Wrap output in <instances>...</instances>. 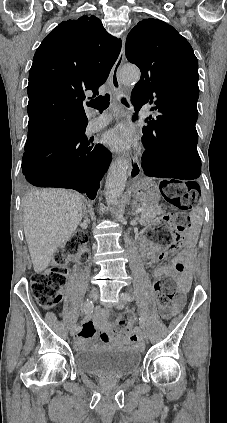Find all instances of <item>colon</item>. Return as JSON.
<instances>
[{"label": "colon", "instance_id": "colon-1", "mask_svg": "<svg viewBox=\"0 0 227 423\" xmlns=\"http://www.w3.org/2000/svg\"><path fill=\"white\" fill-rule=\"evenodd\" d=\"M161 192L178 212L163 215L160 223L151 231V238L155 243L165 245L169 249H177L179 245L175 234L184 230L186 211L199 200V187L194 182L183 186L167 182L162 185ZM86 240L84 233H76L56 251L50 267L33 276L30 291L39 305L51 308L61 301L68 275V262L76 254H80L81 261L84 260L82 250ZM154 288L159 306L169 305L176 295L175 284L171 278L158 280ZM117 325L123 331H130L133 327L126 316L120 317Z\"/></svg>", "mask_w": 227, "mask_h": 423}]
</instances>
